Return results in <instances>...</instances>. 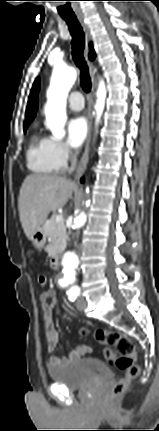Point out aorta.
<instances>
[{
    "mask_svg": "<svg viewBox=\"0 0 159 431\" xmlns=\"http://www.w3.org/2000/svg\"><path fill=\"white\" fill-rule=\"evenodd\" d=\"M77 73L72 67L58 66L55 67L52 73L50 86L47 91V105L45 115L47 126L51 130L53 136L61 139L65 135L64 124L66 122V101L67 95L73 84L76 81ZM106 99V87L103 80L100 81L97 90V102L95 110L97 113V122L104 110ZM89 192V188H86ZM87 219L86 213L81 211L74 219L72 224V232H77L85 224ZM62 280L69 286L75 287L76 272L80 266L78 255L73 251L64 253L62 260Z\"/></svg>",
    "mask_w": 159,
    "mask_h": 431,
    "instance_id": "obj_1",
    "label": "aorta"
}]
</instances>
